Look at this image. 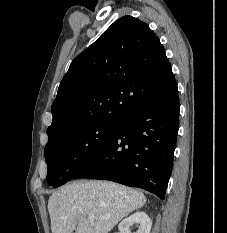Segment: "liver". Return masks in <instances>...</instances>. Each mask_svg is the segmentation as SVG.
Returning <instances> with one entry per match:
<instances>
[{"label": "liver", "mask_w": 227, "mask_h": 233, "mask_svg": "<svg viewBox=\"0 0 227 233\" xmlns=\"http://www.w3.org/2000/svg\"><path fill=\"white\" fill-rule=\"evenodd\" d=\"M145 203L142 192L126 186L108 181H76L50 196L51 230L52 233H109ZM89 213L94 214L93 221L87 218Z\"/></svg>", "instance_id": "obj_1"}]
</instances>
